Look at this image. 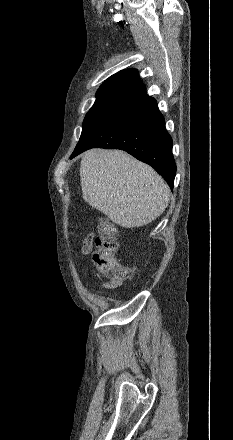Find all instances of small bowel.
<instances>
[{"label": "small bowel", "instance_id": "small-bowel-1", "mask_svg": "<svg viewBox=\"0 0 233 440\" xmlns=\"http://www.w3.org/2000/svg\"><path fill=\"white\" fill-rule=\"evenodd\" d=\"M94 241H95V235L93 233H89L82 242L81 253L84 255L91 253V251L93 250ZM100 286L102 288H106V289H115L120 286V283L103 281L100 283ZM97 292L103 293V291H101V290H98Z\"/></svg>", "mask_w": 233, "mask_h": 440}]
</instances>
